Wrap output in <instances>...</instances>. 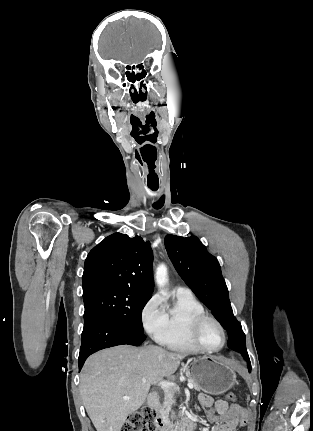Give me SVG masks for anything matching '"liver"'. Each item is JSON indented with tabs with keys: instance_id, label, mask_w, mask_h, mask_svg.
Masks as SVG:
<instances>
[{
	"instance_id": "obj_1",
	"label": "liver",
	"mask_w": 313,
	"mask_h": 431,
	"mask_svg": "<svg viewBox=\"0 0 313 431\" xmlns=\"http://www.w3.org/2000/svg\"><path fill=\"white\" fill-rule=\"evenodd\" d=\"M186 356L157 346L128 345L90 356L82 369L80 393L96 430L121 431L127 417L144 404L150 387L174 374Z\"/></svg>"
}]
</instances>
